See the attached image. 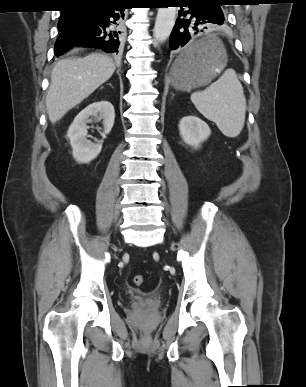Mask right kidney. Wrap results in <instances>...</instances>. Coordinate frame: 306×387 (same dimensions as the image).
Listing matches in <instances>:
<instances>
[{"label":"right kidney","mask_w":306,"mask_h":387,"mask_svg":"<svg viewBox=\"0 0 306 387\" xmlns=\"http://www.w3.org/2000/svg\"><path fill=\"white\" fill-rule=\"evenodd\" d=\"M103 120V133L105 137L112 129L115 119V111L113 105L108 101L94 102L83 109L70 125L67 137L70 140L73 149V157L79 163H89L95 159L102 149V143H93L87 139V124L92 120Z\"/></svg>","instance_id":"ca27d5eb"}]
</instances>
